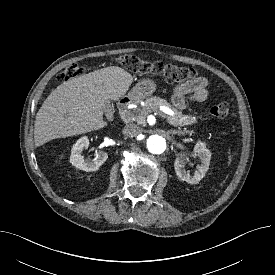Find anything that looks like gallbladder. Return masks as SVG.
Listing matches in <instances>:
<instances>
[{
    "instance_id": "gallbladder-1",
    "label": "gallbladder",
    "mask_w": 275,
    "mask_h": 275,
    "mask_svg": "<svg viewBox=\"0 0 275 275\" xmlns=\"http://www.w3.org/2000/svg\"><path fill=\"white\" fill-rule=\"evenodd\" d=\"M105 110L107 113L112 111V104L110 102L105 105Z\"/></svg>"
}]
</instances>
